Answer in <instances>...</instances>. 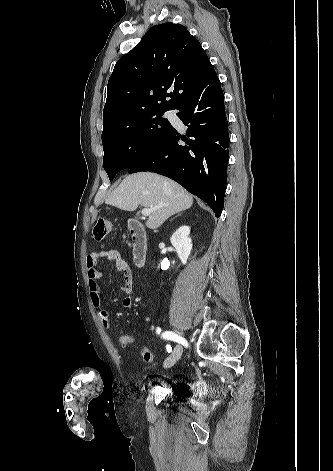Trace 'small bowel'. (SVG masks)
<instances>
[{
    "instance_id": "small-bowel-1",
    "label": "small bowel",
    "mask_w": 333,
    "mask_h": 471,
    "mask_svg": "<svg viewBox=\"0 0 333 471\" xmlns=\"http://www.w3.org/2000/svg\"><path fill=\"white\" fill-rule=\"evenodd\" d=\"M103 261L114 263L117 273L121 276V290L125 295L122 301V306L125 310L130 309L133 302V277L130 266L117 250H101L92 252L87 256L86 269L90 299L93 306L98 308L97 314L100 322L105 328H109L110 314L107 310L101 307L102 298L99 280L102 278V274L96 268V266ZM146 321H150V318L147 317Z\"/></svg>"
}]
</instances>
